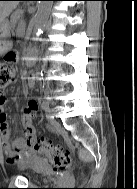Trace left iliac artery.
Returning <instances> with one entry per match:
<instances>
[{
  "label": "left iliac artery",
  "mask_w": 137,
  "mask_h": 189,
  "mask_svg": "<svg viewBox=\"0 0 137 189\" xmlns=\"http://www.w3.org/2000/svg\"><path fill=\"white\" fill-rule=\"evenodd\" d=\"M43 108H46V107H48L49 106V103H48V101H45V102H43Z\"/></svg>",
  "instance_id": "1"
}]
</instances>
